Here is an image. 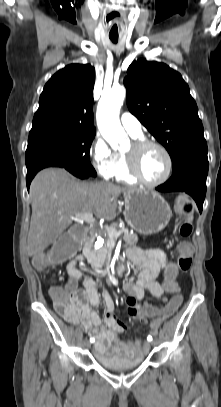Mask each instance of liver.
<instances>
[{
	"instance_id": "obj_1",
	"label": "liver",
	"mask_w": 221,
	"mask_h": 407,
	"mask_svg": "<svg viewBox=\"0 0 221 407\" xmlns=\"http://www.w3.org/2000/svg\"><path fill=\"white\" fill-rule=\"evenodd\" d=\"M136 190L139 189L108 182H80L61 168L40 171L30 186L28 255L35 257L54 243L76 214L91 212L99 218L113 220L119 195Z\"/></svg>"
}]
</instances>
